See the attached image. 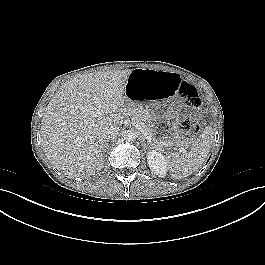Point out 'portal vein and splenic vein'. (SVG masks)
I'll return each mask as SVG.
<instances>
[{
	"label": "portal vein and splenic vein",
	"instance_id": "18ae733b",
	"mask_svg": "<svg viewBox=\"0 0 265 265\" xmlns=\"http://www.w3.org/2000/svg\"><path fill=\"white\" fill-rule=\"evenodd\" d=\"M96 114L100 115L101 114V105H100V101L99 100H96ZM136 127H138V129H140V131L143 133V135L145 136L146 139L150 140V136L147 132L143 131V129L141 128V125L140 124H137ZM163 145H167L165 143H163Z\"/></svg>",
	"mask_w": 265,
	"mask_h": 265
}]
</instances>
